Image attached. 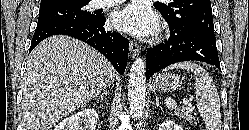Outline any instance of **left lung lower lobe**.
<instances>
[{
	"instance_id": "left-lung-lower-lobe-1",
	"label": "left lung lower lobe",
	"mask_w": 249,
	"mask_h": 130,
	"mask_svg": "<svg viewBox=\"0 0 249 130\" xmlns=\"http://www.w3.org/2000/svg\"><path fill=\"white\" fill-rule=\"evenodd\" d=\"M169 40L147 49L146 80L168 65L182 61H202L220 68L214 33L179 30L169 24Z\"/></svg>"
}]
</instances>
